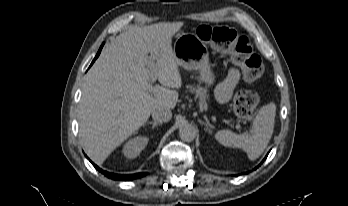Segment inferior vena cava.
Segmentation results:
<instances>
[{
  "label": "inferior vena cava",
  "mask_w": 348,
  "mask_h": 206,
  "mask_svg": "<svg viewBox=\"0 0 348 206\" xmlns=\"http://www.w3.org/2000/svg\"><path fill=\"white\" fill-rule=\"evenodd\" d=\"M152 118L159 123L168 122L172 118V112L170 109L158 107L152 111Z\"/></svg>",
  "instance_id": "1"
}]
</instances>
